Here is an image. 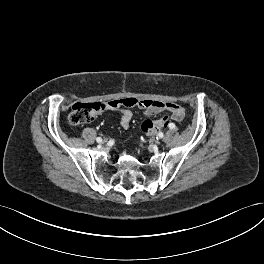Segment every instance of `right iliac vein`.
I'll return each mask as SVG.
<instances>
[{"label": "right iliac vein", "instance_id": "right-iliac-vein-1", "mask_svg": "<svg viewBox=\"0 0 264 264\" xmlns=\"http://www.w3.org/2000/svg\"><path fill=\"white\" fill-rule=\"evenodd\" d=\"M108 143V138L107 137H104L103 140L101 141V144L102 145H105Z\"/></svg>", "mask_w": 264, "mask_h": 264}]
</instances>
